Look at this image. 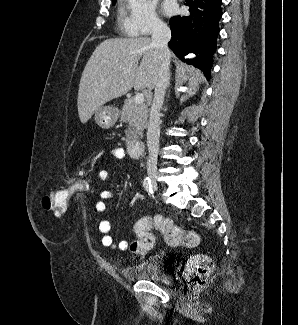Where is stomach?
<instances>
[{
    "instance_id": "1",
    "label": "stomach",
    "mask_w": 298,
    "mask_h": 325,
    "mask_svg": "<svg viewBox=\"0 0 298 325\" xmlns=\"http://www.w3.org/2000/svg\"><path fill=\"white\" fill-rule=\"evenodd\" d=\"M119 116L118 108L115 106H101L94 112V120L101 128H111L117 122Z\"/></svg>"
}]
</instances>
